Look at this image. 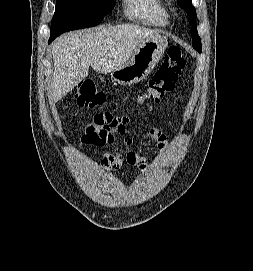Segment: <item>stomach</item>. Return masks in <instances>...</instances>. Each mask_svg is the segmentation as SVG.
Masks as SVG:
<instances>
[{"label":"stomach","instance_id":"stomach-1","mask_svg":"<svg viewBox=\"0 0 253 271\" xmlns=\"http://www.w3.org/2000/svg\"><path fill=\"white\" fill-rule=\"evenodd\" d=\"M167 47L162 36L145 39L138 44L129 60L111 72L114 81L123 85L138 83L149 75Z\"/></svg>","mask_w":253,"mask_h":271}]
</instances>
